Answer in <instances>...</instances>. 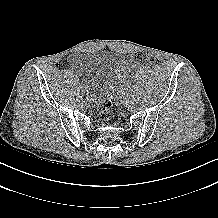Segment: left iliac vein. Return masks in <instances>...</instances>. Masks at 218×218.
Returning a JSON list of instances; mask_svg holds the SVG:
<instances>
[{"label": "left iliac vein", "instance_id": "obj_1", "mask_svg": "<svg viewBox=\"0 0 218 218\" xmlns=\"http://www.w3.org/2000/svg\"><path fill=\"white\" fill-rule=\"evenodd\" d=\"M128 104L131 106L133 104V99L132 98H129L128 99Z\"/></svg>", "mask_w": 218, "mask_h": 218}]
</instances>
